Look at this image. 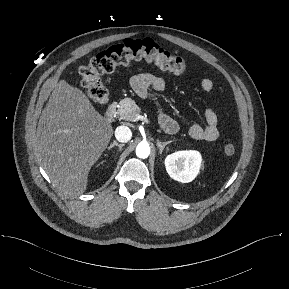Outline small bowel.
Masks as SVG:
<instances>
[{"instance_id": "c3829d8e", "label": "small bowel", "mask_w": 289, "mask_h": 289, "mask_svg": "<svg viewBox=\"0 0 289 289\" xmlns=\"http://www.w3.org/2000/svg\"><path fill=\"white\" fill-rule=\"evenodd\" d=\"M131 85L135 93L145 98L150 91L161 92L165 89L166 81L164 77L144 73L133 77ZM203 91L209 92L213 89V81L209 78H204L200 83ZM206 124L191 123L187 127L188 134L197 140L214 141L219 137L218 116L210 108L205 110ZM160 124L167 133H175L179 129V125L171 116L161 113L159 116Z\"/></svg>"}]
</instances>
